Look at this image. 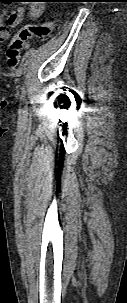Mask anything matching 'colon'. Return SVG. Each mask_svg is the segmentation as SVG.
<instances>
[{
    "mask_svg": "<svg viewBox=\"0 0 127 303\" xmlns=\"http://www.w3.org/2000/svg\"><path fill=\"white\" fill-rule=\"evenodd\" d=\"M53 19L46 20L40 24H25L11 39L6 51V61L9 67L14 68L18 65L21 53L28 46L31 38L44 39L48 37L54 28Z\"/></svg>",
    "mask_w": 127,
    "mask_h": 303,
    "instance_id": "colon-1",
    "label": "colon"
}]
</instances>
